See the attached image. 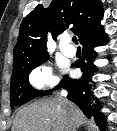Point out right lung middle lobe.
Segmentation results:
<instances>
[{
    "mask_svg": "<svg viewBox=\"0 0 117 131\" xmlns=\"http://www.w3.org/2000/svg\"><path fill=\"white\" fill-rule=\"evenodd\" d=\"M48 57L43 58L39 61H36L31 64L21 65L13 69L12 77H11V90H10V103L11 108L15 105L24 103L29 101L35 97L46 95L50 93L49 91H39L32 88L29 84L28 76L29 73L39 65H41L44 61H46ZM61 87V83L56 86L54 89H58Z\"/></svg>",
    "mask_w": 117,
    "mask_h": 131,
    "instance_id": "obj_1",
    "label": "right lung middle lobe"
}]
</instances>
